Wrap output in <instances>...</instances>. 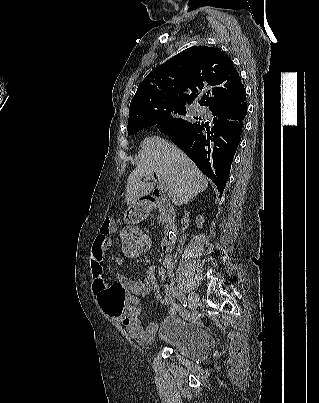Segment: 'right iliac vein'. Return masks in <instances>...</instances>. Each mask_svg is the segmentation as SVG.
Here are the masks:
<instances>
[{
  "mask_svg": "<svg viewBox=\"0 0 319 403\" xmlns=\"http://www.w3.org/2000/svg\"><path fill=\"white\" fill-rule=\"evenodd\" d=\"M198 295L196 293L189 294V307L192 312H194L198 307Z\"/></svg>",
  "mask_w": 319,
  "mask_h": 403,
  "instance_id": "1",
  "label": "right iliac vein"
}]
</instances>
